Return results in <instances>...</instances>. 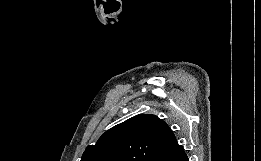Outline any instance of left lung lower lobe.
I'll list each match as a JSON object with an SVG mask.
<instances>
[{
	"label": "left lung lower lobe",
	"instance_id": "0a47b994",
	"mask_svg": "<svg viewBox=\"0 0 261 161\" xmlns=\"http://www.w3.org/2000/svg\"><path fill=\"white\" fill-rule=\"evenodd\" d=\"M151 161H189L184 149L175 141L167 147L161 148Z\"/></svg>",
	"mask_w": 261,
	"mask_h": 161
}]
</instances>
